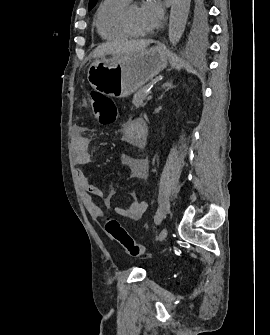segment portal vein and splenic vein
I'll return each mask as SVG.
<instances>
[{
  "mask_svg": "<svg viewBox=\"0 0 270 335\" xmlns=\"http://www.w3.org/2000/svg\"><path fill=\"white\" fill-rule=\"evenodd\" d=\"M147 92H150V90H147ZM147 92H146V94H147ZM152 97H153V93H150L149 98H146V101L152 100Z\"/></svg>",
  "mask_w": 270,
  "mask_h": 335,
  "instance_id": "obj_1",
  "label": "portal vein and splenic vein"
}]
</instances>
